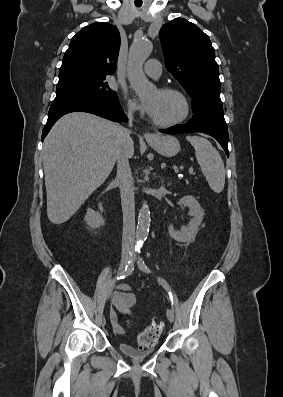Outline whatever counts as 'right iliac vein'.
<instances>
[{"label": "right iliac vein", "instance_id": "obj_1", "mask_svg": "<svg viewBox=\"0 0 283 397\" xmlns=\"http://www.w3.org/2000/svg\"><path fill=\"white\" fill-rule=\"evenodd\" d=\"M128 259H129L128 254H127V253H124V254L122 255V258H121V263H120V266H119L118 274H121V273L124 271V268H125V265H126L127 262H128ZM113 286H114V283H113V282H111V283L108 285L107 290H106V296H107V298L110 297V295H111V293H112V290H113Z\"/></svg>", "mask_w": 283, "mask_h": 397}]
</instances>
